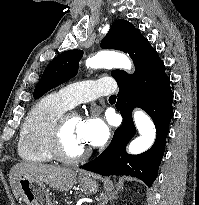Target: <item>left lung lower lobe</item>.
<instances>
[{
    "label": "left lung lower lobe",
    "instance_id": "1",
    "mask_svg": "<svg viewBox=\"0 0 199 205\" xmlns=\"http://www.w3.org/2000/svg\"><path fill=\"white\" fill-rule=\"evenodd\" d=\"M135 65L134 74L119 72L115 78L119 92L116 108L123 123L114 133L111 143L100 156L80 168L103 176H133L147 186L155 181L161 163L169 124L173 117V93L164 63L149 41L139 33L127 52ZM140 107L148 113L156 126V140L146 152L130 155L126 146L136 134L132 111Z\"/></svg>",
    "mask_w": 199,
    "mask_h": 205
}]
</instances>
